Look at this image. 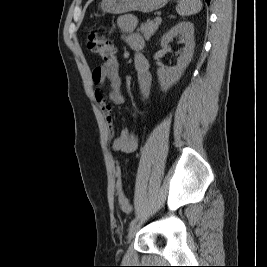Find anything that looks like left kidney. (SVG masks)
I'll use <instances>...</instances> for the list:
<instances>
[{
	"mask_svg": "<svg viewBox=\"0 0 267 267\" xmlns=\"http://www.w3.org/2000/svg\"><path fill=\"white\" fill-rule=\"evenodd\" d=\"M179 37L185 43L183 52L177 58V65L175 67L157 70L158 80L162 91H167L181 78L184 70L189 65L193 56L195 42H194V25L191 22H180L165 33L161 39V47L167 48L168 44L173 38Z\"/></svg>",
	"mask_w": 267,
	"mask_h": 267,
	"instance_id": "5707ae66",
	"label": "left kidney"
}]
</instances>
